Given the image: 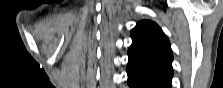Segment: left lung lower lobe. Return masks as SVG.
Instances as JSON below:
<instances>
[{
    "mask_svg": "<svg viewBox=\"0 0 223 88\" xmlns=\"http://www.w3.org/2000/svg\"><path fill=\"white\" fill-rule=\"evenodd\" d=\"M127 73L130 88H171L172 76L165 72L128 62Z\"/></svg>",
    "mask_w": 223,
    "mask_h": 88,
    "instance_id": "1",
    "label": "left lung lower lobe"
}]
</instances>
